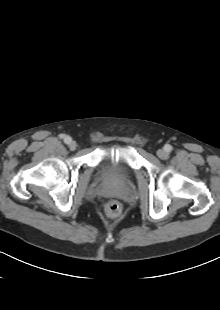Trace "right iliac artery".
Wrapping results in <instances>:
<instances>
[{
  "instance_id": "1",
  "label": "right iliac artery",
  "mask_w": 220,
  "mask_h": 310,
  "mask_svg": "<svg viewBox=\"0 0 220 310\" xmlns=\"http://www.w3.org/2000/svg\"><path fill=\"white\" fill-rule=\"evenodd\" d=\"M71 137L70 136H65L64 137V142L66 143V144H69L70 142H71Z\"/></svg>"
}]
</instances>
